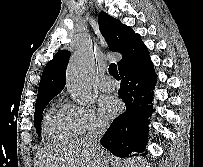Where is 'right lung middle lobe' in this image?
Wrapping results in <instances>:
<instances>
[{"label": "right lung middle lobe", "mask_w": 203, "mask_h": 167, "mask_svg": "<svg viewBox=\"0 0 203 167\" xmlns=\"http://www.w3.org/2000/svg\"><path fill=\"white\" fill-rule=\"evenodd\" d=\"M52 98H48V99L42 100L40 102H37L35 105L34 125H35L36 132L38 133V135H40V132H41L40 123L43 118V116H42L43 111Z\"/></svg>", "instance_id": "dd1d6c3e"}]
</instances>
